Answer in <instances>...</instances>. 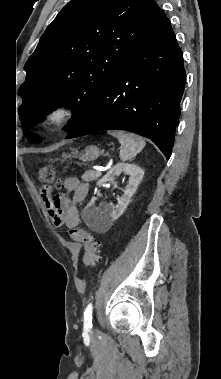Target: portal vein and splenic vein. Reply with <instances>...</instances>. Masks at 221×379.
<instances>
[{"mask_svg": "<svg viewBox=\"0 0 221 379\" xmlns=\"http://www.w3.org/2000/svg\"><path fill=\"white\" fill-rule=\"evenodd\" d=\"M94 168H95V170L98 171V172H101V171H103V169H104V167H102V166H95Z\"/></svg>", "mask_w": 221, "mask_h": 379, "instance_id": "obj_1", "label": "portal vein and splenic vein"}]
</instances>
